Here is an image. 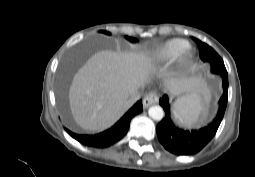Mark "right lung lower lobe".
I'll use <instances>...</instances> for the list:
<instances>
[{
	"label": "right lung lower lobe",
	"instance_id": "obj_1",
	"mask_svg": "<svg viewBox=\"0 0 255 177\" xmlns=\"http://www.w3.org/2000/svg\"><path fill=\"white\" fill-rule=\"evenodd\" d=\"M142 109V101L140 100L134 104L114 126L96 135L75 134L68 129H66V131L70 136L85 146L106 148L115 144L125 136L129 129L131 119L135 115L141 113Z\"/></svg>",
	"mask_w": 255,
	"mask_h": 177
}]
</instances>
